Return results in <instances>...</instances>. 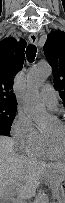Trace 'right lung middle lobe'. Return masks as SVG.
I'll return each instance as SVG.
<instances>
[{"label":"right lung middle lobe","mask_w":65,"mask_h":203,"mask_svg":"<svg viewBox=\"0 0 65 203\" xmlns=\"http://www.w3.org/2000/svg\"><path fill=\"white\" fill-rule=\"evenodd\" d=\"M17 105L0 103V134L9 135L12 122L15 118Z\"/></svg>","instance_id":"1"}]
</instances>
